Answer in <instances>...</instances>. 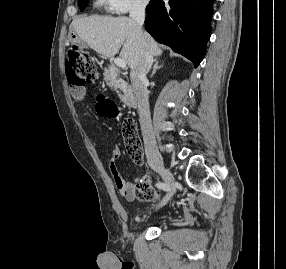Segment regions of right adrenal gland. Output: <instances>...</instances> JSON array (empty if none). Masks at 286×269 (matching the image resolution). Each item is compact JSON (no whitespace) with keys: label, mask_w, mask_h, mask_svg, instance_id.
<instances>
[{"label":"right adrenal gland","mask_w":286,"mask_h":269,"mask_svg":"<svg viewBox=\"0 0 286 269\" xmlns=\"http://www.w3.org/2000/svg\"><path fill=\"white\" fill-rule=\"evenodd\" d=\"M158 59H154V66H153V69H152V73H151V77H153V75L156 73V71L162 67V65L159 66L158 64Z\"/></svg>","instance_id":"1"}]
</instances>
